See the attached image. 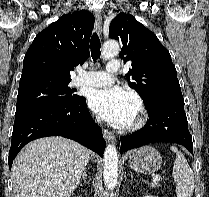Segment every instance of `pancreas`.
Listing matches in <instances>:
<instances>
[{
	"instance_id": "cf45deb5",
	"label": "pancreas",
	"mask_w": 209,
	"mask_h": 197,
	"mask_svg": "<svg viewBox=\"0 0 209 197\" xmlns=\"http://www.w3.org/2000/svg\"><path fill=\"white\" fill-rule=\"evenodd\" d=\"M151 186L155 187V186H157V183H152Z\"/></svg>"
}]
</instances>
